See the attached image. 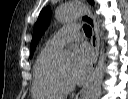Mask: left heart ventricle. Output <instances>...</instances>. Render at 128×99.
Wrapping results in <instances>:
<instances>
[{"mask_svg": "<svg viewBox=\"0 0 128 99\" xmlns=\"http://www.w3.org/2000/svg\"><path fill=\"white\" fill-rule=\"evenodd\" d=\"M70 68H71L70 63H67V64H64V65L60 66L61 71L71 80V78H70Z\"/></svg>", "mask_w": 128, "mask_h": 99, "instance_id": "obj_1", "label": "left heart ventricle"}]
</instances>
